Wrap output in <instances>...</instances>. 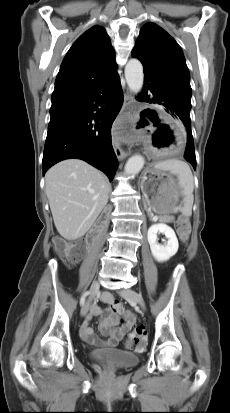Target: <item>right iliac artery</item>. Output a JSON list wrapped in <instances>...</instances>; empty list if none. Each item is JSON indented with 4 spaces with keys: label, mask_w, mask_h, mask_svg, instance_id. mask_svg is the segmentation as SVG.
<instances>
[{
    "label": "right iliac artery",
    "mask_w": 230,
    "mask_h": 413,
    "mask_svg": "<svg viewBox=\"0 0 230 413\" xmlns=\"http://www.w3.org/2000/svg\"><path fill=\"white\" fill-rule=\"evenodd\" d=\"M90 292H85L83 295H82V297H81V299H80V305H84V303H85V298H86V296L89 294Z\"/></svg>",
    "instance_id": "82829eb1"
}]
</instances>
